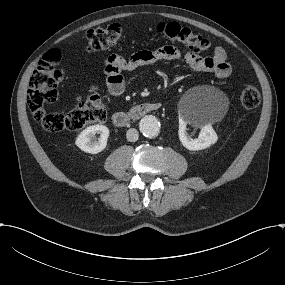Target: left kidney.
Listing matches in <instances>:
<instances>
[{"label":"left kidney","instance_id":"left-kidney-1","mask_svg":"<svg viewBox=\"0 0 285 285\" xmlns=\"http://www.w3.org/2000/svg\"><path fill=\"white\" fill-rule=\"evenodd\" d=\"M179 139L182 145L191 151L202 150L216 143L218 136L210 124L202 127L198 138L192 139L188 136L186 126L179 128Z\"/></svg>","mask_w":285,"mask_h":285}]
</instances>
